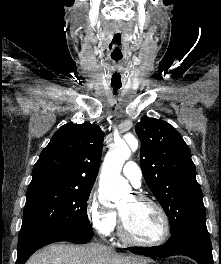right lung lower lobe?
<instances>
[{
    "label": "right lung lower lobe",
    "instance_id": "98d812e1",
    "mask_svg": "<svg viewBox=\"0 0 221 264\" xmlns=\"http://www.w3.org/2000/svg\"><path fill=\"white\" fill-rule=\"evenodd\" d=\"M93 237V230L79 231H48L26 234L18 240L17 261L16 264H25L27 259L38 249L45 245L68 241L71 243L85 244Z\"/></svg>",
    "mask_w": 221,
    "mask_h": 264
}]
</instances>
